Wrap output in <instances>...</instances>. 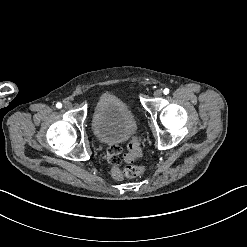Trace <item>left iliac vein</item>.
<instances>
[{"label": "left iliac vein", "instance_id": "obj_1", "mask_svg": "<svg viewBox=\"0 0 247 247\" xmlns=\"http://www.w3.org/2000/svg\"><path fill=\"white\" fill-rule=\"evenodd\" d=\"M162 96V90L158 89L154 92V97L159 98Z\"/></svg>", "mask_w": 247, "mask_h": 247}]
</instances>
